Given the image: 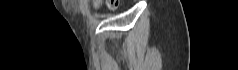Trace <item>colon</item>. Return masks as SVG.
Segmentation results:
<instances>
[{"instance_id":"obj_1","label":"colon","mask_w":238,"mask_h":70,"mask_svg":"<svg viewBox=\"0 0 238 70\" xmlns=\"http://www.w3.org/2000/svg\"><path fill=\"white\" fill-rule=\"evenodd\" d=\"M100 3L101 2H96V5H99ZM105 4L110 9H116L119 6L120 2L117 0H108V1H105Z\"/></svg>"}]
</instances>
